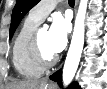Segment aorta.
<instances>
[{"label":"aorta","mask_w":107,"mask_h":89,"mask_svg":"<svg viewBox=\"0 0 107 89\" xmlns=\"http://www.w3.org/2000/svg\"><path fill=\"white\" fill-rule=\"evenodd\" d=\"M88 0H80L78 12L75 19V25L71 44L67 53L65 64L63 67V85L67 87L73 80L77 71L83 46H84V34H85V16L87 11ZM46 29L47 26H44Z\"/></svg>","instance_id":"aorta-1"}]
</instances>
